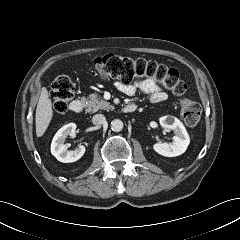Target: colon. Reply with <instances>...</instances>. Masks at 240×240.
Wrapping results in <instances>:
<instances>
[{
  "instance_id": "obj_1",
  "label": "colon",
  "mask_w": 240,
  "mask_h": 240,
  "mask_svg": "<svg viewBox=\"0 0 240 240\" xmlns=\"http://www.w3.org/2000/svg\"><path fill=\"white\" fill-rule=\"evenodd\" d=\"M94 67L102 79H117L124 84L134 80L152 79L163 85L175 96H182L186 84L174 68H169L153 60L144 58H124L113 54L97 57ZM75 84L65 74L58 75L52 84V107L55 113L66 111L69 101L74 97ZM181 115L186 124L195 126L200 121V106L187 98L180 101Z\"/></svg>"
}]
</instances>
